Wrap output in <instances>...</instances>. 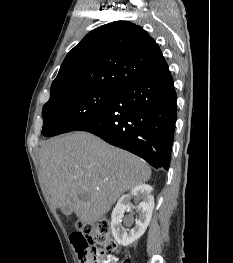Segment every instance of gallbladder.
Masks as SVG:
<instances>
[{"mask_svg":"<svg viewBox=\"0 0 233 263\" xmlns=\"http://www.w3.org/2000/svg\"><path fill=\"white\" fill-rule=\"evenodd\" d=\"M61 210L65 216H70L73 213V210L69 208L68 206L63 207Z\"/></svg>","mask_w":233,"mask_h":263,"instance_id":"bac80fb5","label":"gallbladder"}]
</instances>
